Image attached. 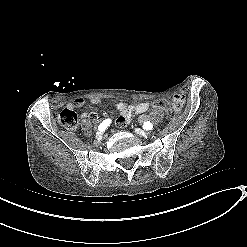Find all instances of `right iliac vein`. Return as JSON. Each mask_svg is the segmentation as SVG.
Here are the masks:
<instances>
[{"mask_svg":"<svg viewBox=\"0 0 247 247\" xmlns=\"http://www.w3.org/2000/svg\"><path fill=\"white\" fill-rule=\"evenodd\" d=\"M102 137H103V134H102L101 132H97V133H96V139H97V140H101Z\"/></svg>","mask_w":247,"mask_h":247,"instance_id":"right-iliac-vein-1","label":"right iliac vein"}]
</instances>
